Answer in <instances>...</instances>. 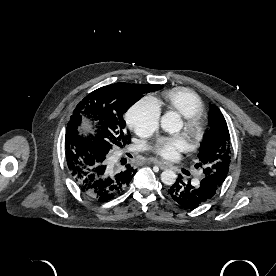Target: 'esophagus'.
<instances>
[{
	"label": "esophagus",
	"mask_w": 276,
	"mask_h": 276,
	"mask_svg": "<svg viewBox=\"0 0 276 276\" xmlns=\"http://www.w3.org/2000/svg\"><path fill=\"white\" fill-rule=\"evenodd\" d=\"M148 162H149V163L156 164V165L159 166L161 169H166V168L169 167V165L166 164L165 162H162V161H159V160H156V159H149Z\"/></svg>",
	"instance_id": "obj_1"
}]
</instances>
